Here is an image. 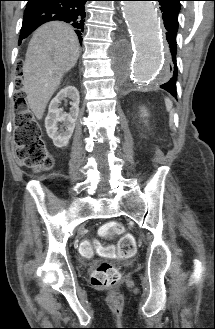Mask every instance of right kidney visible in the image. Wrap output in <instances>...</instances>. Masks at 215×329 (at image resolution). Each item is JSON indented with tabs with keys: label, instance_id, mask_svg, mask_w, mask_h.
<instances>
[{
	"label": "right kidney",
	"instance_id": "obj_1",
	"mask_svg": "<svg viewBox=\"0 0 215 329\" xmlns=\"http://www.w3.org/2000/svg\"><path fill=\"white\" fill-rule=\"evenodd\" d=\"M67 99L71 100L69 113L60 108L61 102L67 101ZM79 101L80 96L77 88L66 86L50 102L48 115L45 118V127L48 136L58 148H62L69 143L79 114Z\"/></svg>",
	"mask_w": 215,
	"mask_h": 329
}]
</instances>
